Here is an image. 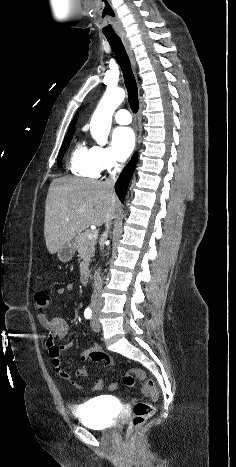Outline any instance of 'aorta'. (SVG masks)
Returning a JSON list of instances; mask_svg holds the SVG:
<instances>
[{"mask_svg":"<svg viewBox=\"0 0 236 467\" xmlns=\"http://www.w3.org/2000/svg\"><path fill=\"white\" fill-rule=\"evenodd\" d=\"M124 98L125 91L122 88H107L90 122V132L97 143L101 145L106 143L111 129L112 115Z\"/></svg>","mask_w":236,"mask_h":467,"instance_id":"762f6f07","label":"aorta"}]
</instances>
